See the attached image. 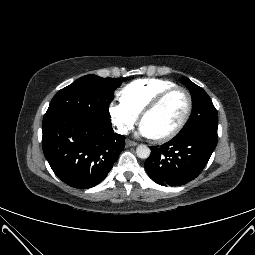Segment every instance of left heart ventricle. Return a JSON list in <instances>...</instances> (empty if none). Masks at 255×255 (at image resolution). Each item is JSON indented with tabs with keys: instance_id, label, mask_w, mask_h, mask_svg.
<instances>
[{
	"instance_id": "obj_1",
	"label": "left heart ventricle",
	"mask_w": 255,
	"mask_h": 255,
	"mask_svg": "<svg viewBox=\"0 0 255 255\" xmlns=\"http://www.w3.org/2000/svg\"><path fill=\"white\" fill-rule=\"evenodd\" d=\"M186 108L185 93L176 91L169 95L157 109L147 115L143 124L149 128L154 137L162 136L179 124Z\"/></svg>"
}]
</instances>
